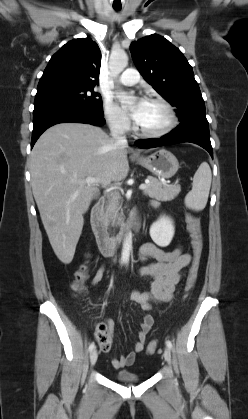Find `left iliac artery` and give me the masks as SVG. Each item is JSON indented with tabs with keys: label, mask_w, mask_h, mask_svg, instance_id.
Listing matches in <instances>:
<instances>
[{
	"label": "left iliac artery",
	"mask_w": 248,
	"mask_h": 419,
	"mask_svg": "<svg viewBox=\"0 0 248 419\" xmlns=\"http://www.w3.org/2000/svg\"><path fill=\"white\" fill-rule=\"evenodd\" d=\"M166 345L169 349H172V347H173L171 341H169V340L166 341Z\"/></svg>",
	"instance_id": "44dca946"
}]
</instances>
